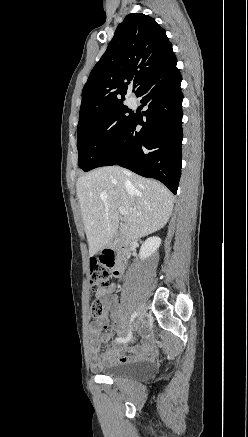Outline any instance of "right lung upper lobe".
I'll return each instance as SVG.
<instances>
[{
	"mask_svg": "<svg viewBox=\"0 0 248 437\" xmlns=\"http://www.w3.org/2000/svg\"><path fill=\"white\" fill-rule=\"evenodd\" d=\"M174 56L165 30L144 14H129L118 25L106 52L82 91L78 126L124 100L134 79L135 94Z\"/></svg>",
	"mask_w": 248,
	"mask_h": 437,
	"instance_id": "right-lung-upper-lobe-1",
	"label": "right lung upper lobe"
}]
</instances>
